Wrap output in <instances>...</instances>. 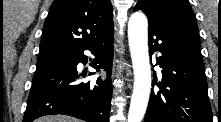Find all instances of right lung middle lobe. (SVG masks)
Masks as SVG:
<instances>
[{"mask_svg":"<svg viewBox=\"0 0 221 122\" xmlns=\"http://www.w3.org/2000/svg\"><path fill=\"white\" fill-rule=\"evenodd\" d=\"M65 58H58V59H46V60H37V68L36 71L43 70L49 66L55 65Z\"/></svg>","mask_w":221,"mask_h":122,"instance_id":"obj_1","label":"right lung middle lobe"}]
</instances>
